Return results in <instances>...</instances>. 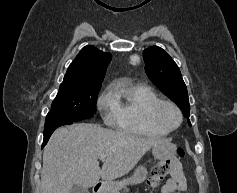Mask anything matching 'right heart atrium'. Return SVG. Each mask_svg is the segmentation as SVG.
Returning <instances> with one entry per match:
<instances>
[{"instance_id": "d8ad5b80", "label": "right heart atrium", "mask_w": 237, "mask_h": 193, "mask_svg": "<svg viewBox=\"0 0 237 193\" xmlns=\"http://www.w3.org/2000/svg\"><path fill=\"white\" fill-rule=\"evenodd\" d=\"M97 106L104 120L111 124L113 114L115 112V104L113 101V94L110 89H106L99 96Z\"/></svg>"}]
</instances>
